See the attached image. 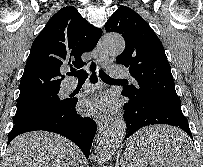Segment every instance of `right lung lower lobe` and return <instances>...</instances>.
Masks as SVG:
<instances>
[{
  "label": "right lung lower lobe",
  "instance_id": "right-lung-lower-lobe-1",
  "mask_svg": "<svg viewBox=\"0 0 203 167\" xmlns=\"http://www.w3.org/2000/svg\"><path fill=\"white\" fill-rule=\"evenodd\" d=\"M90 79L92 83L97 81L94 69ZM77 101V98H70L62 108L33 115L14 124L8 135V144L16 136L25 132L50 131L73 141L88 158L97 126L93 119L77 114L75 109Z\"/></svg>",
  "mask_w": 203,
  "mask_h": 167
}]
</instances>
